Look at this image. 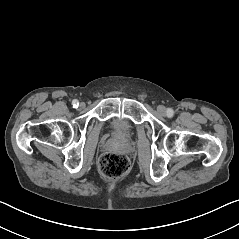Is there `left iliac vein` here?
I'll return each instance as SVG.
<instances>
[{"label":"left iliac vein","instance_id":"1","mask_svg":"<svg viewBox=\"0 0 239 239\" xmlns=\"http://www.w3.org/2000/svg\"><path fill=\"white\" fill-rule=\"evenodd\" d=\"M157 111L163 116L166 115V108L162 105L157 107Z\"/></svg>","mask_w":239,"mask_h":239}]
</instances>
